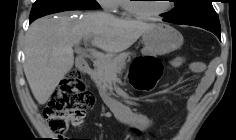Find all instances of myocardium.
Instances as JSON below:
<instances>
[{
	"mask_svg": "<svg viewBox=\"0 0 236 140\" xmlns=\"http://www.w3.org/2000/svg\"><path fill=\"white\" fill-rule=\"evenodd\" d=\"M172 7H173V5L171 3V0H169L165 9L158 11V12L146 13V12L141 11L138 8L137 3L133 2V0L127 1V5H126L127 10L132 15H134L135 17H137L139 19H145V20L160 17V16L164 15L165 13L169 12L172 9Z\"/></svg>",
	"mask_w": 236,
	"mask_h": 140,
	"instance_id": "f54148a6",
	"label": "myocardium"
}]
</instances>
